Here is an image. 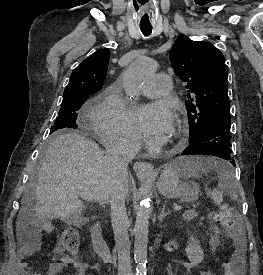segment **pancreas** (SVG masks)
<instances>
[{
    "instance_id": "1",
    "label": "pancreas",
    "mask_w": 263,
    "mask_h": 275,
    "mask_svg": "<svg viewBox=\"0 0 263 275\" xmlns=\"http://www.w3.org/2000/svg\"><path fill=\"white\" fill-rule=\"evenodd\" d=\"M198 216L197 212L194 210H187L185 211V213L183 214V219L186 221H190L193 218H196Z\"/></svg>"
}]
</instances>
